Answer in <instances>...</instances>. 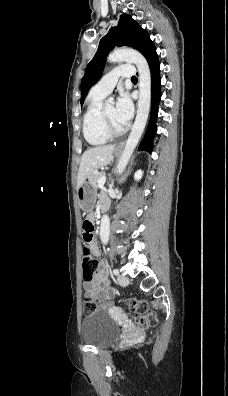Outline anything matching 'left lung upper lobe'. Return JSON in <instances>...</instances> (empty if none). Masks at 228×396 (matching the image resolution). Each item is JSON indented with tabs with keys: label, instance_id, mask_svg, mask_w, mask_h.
<instances>
[{
	"label": "left lung upper lobe",
	"instance_id": "left-lung-upper-lobe-1",
	"mask_svg": "<svg viewBox=\"0 0 228 396\" xmlns=\"http://www.w3.org/2000/svg\"><path fill=\"white\" fill-rule=\"evenodd\" d=\"M151 43L149 34L130 15H121L118 26L112 27L100 40L96 54L86 67L81 83V105L89 89L101 77L106 57L114 46L132 47L145 55Z\"/></svg>",
	"mask_w": 228,
	"mask_h": 396
}]
</instances>
